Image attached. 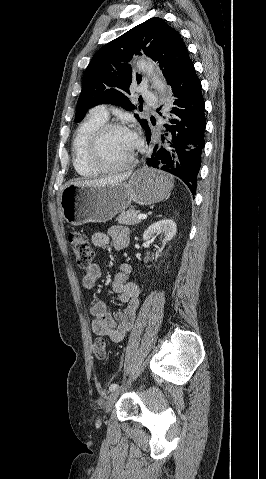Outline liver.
Segmentation results:
<instances>
[{
	"mask_svg": "<svg viewBox=\"0 0 266 479\" xmlns=\"http://www.w3.org/2000/svg\"><path fill=\"white\" fill-rule=\"evenodd\" d=\"M130 175H131V172H128V173H123V174L115 175L111 177H105L102 179L75 181V182H72V184L78 185V186H105L108 184H116V183L123 182L124 180L128 179Z\"/></svg>",
	"mask_w": 266,
	"mask_h": 479,
	"instance_id": "6515ba94",
	"label": "liver"
}]
</instances>
